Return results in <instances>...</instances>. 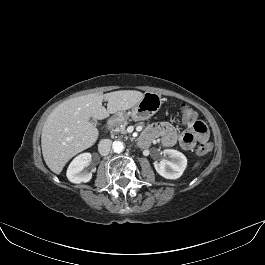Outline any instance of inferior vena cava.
<instances>
[{"label":"inferior vena cava","instance_id":"inferior-vena-cava-1","mask_svg":"<svg viewBox=\"0 0 265 265\" xmlns=\"http://www.w3.org/2000/svg\"><path fill=\"white\" fill-rule=\"evenodd\" d=\"M112 141L110 139H103L98 144V151L102 156H106L110 152Z\"/></svg>","mask_w":265,"mask_h":265}]
</instances>
